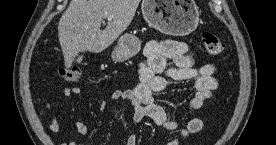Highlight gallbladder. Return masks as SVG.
Returning <instances> with one entry per match:
<instances>
[{"instance_id":"1","label":"gallbladder","mask_w":276,"mask_h":145,"mask_svg":"<svg viewBox=\"0 0 276 145\" xmlns=\"http://www.w3.org/2000/svg\"><path fill=\"white\" fill-rule=\"evenodd\" d=\"M82 61V56H79L77 59V62H81Z\"/></svg>"}]
</instances>
